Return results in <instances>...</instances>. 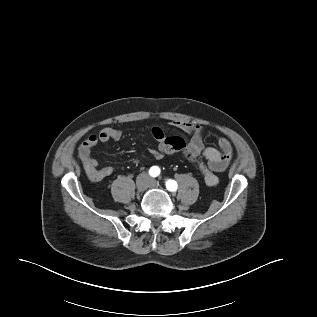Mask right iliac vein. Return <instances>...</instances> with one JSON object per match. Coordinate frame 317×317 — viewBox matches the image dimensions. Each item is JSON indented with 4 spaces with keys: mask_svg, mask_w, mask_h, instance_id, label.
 <instances>
[{
    "mask_svg": "<svg viewBox=\"0 0 317 317\" xmlns=\"http://www.w3.org/2000/svg\"><path fill=\"white\" fill-rule=\"evenodd\" d=\"M148 184H149L148 177L145 174L140 175L136 180L137 191L144 192L147 189Z\"/></svg>",
    "mask_w": 317,
    "mask_h": 317,
    "instance_id": "63e3f726",
    "label": "right iliac vein"
}]
</instances>
